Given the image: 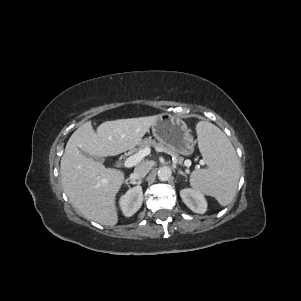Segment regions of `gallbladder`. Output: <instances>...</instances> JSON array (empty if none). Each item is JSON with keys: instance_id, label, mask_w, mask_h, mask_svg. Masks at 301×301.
Here are the masks:
<instances>
[{"instance_id": "1", "label": "gallbladder", "mask_w": 301, "mask_h": 301, "mask_svg": "<svg viewBox=\"0 0 301 301\" xmlns=\"http://www.w3.org/2000/svg\"><path fill=\"white\" fill-rule=\"evenodd\" d=\"M83 155L85 156H89L87 153L82 152ZM95 160H97L98 162H103V159L101 157H94Z\"/></svg>"}]
</instances>
